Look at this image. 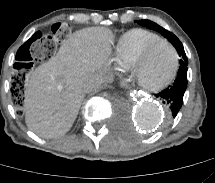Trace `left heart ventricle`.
Here are the masks:
<instances>
[{
    "label": "left heart ventricle",
    "mask_w": 215,
    "mask_h": 183,
    "mask_svg": "<svg viewBox=\"0 0 215 183\" xmlns=\"http://www.w3.org/2000/svg\"><path fill=\"white\" fill-rule=\"evenodd\" d=\"M175 63L172 49L166 44L156 46L137 66L139 81L145 86H157L171 75Z\"/></svg>",
    "instance_id": "1"
}]
</instances>
